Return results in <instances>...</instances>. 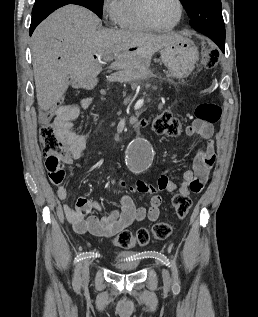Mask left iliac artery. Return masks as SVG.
<instances>
[{
	"label": "left iliac artery",
	"mask_w": 258,
	"mask_h": 317,
	"mask_svg": "<svg viewBox=\"0 0 258 317\" xmlns=\"http://www.w3.org/2000/svg\"><path fill=\"white\" fill-rule=\"evenodd\" d=\"M171 266H172V270H173V275L175 277V279L178 278V268H177V264L176 262L171 259ZM180 292V285L176 283V286L173 288V293L178 294Z\"/></svg>",
	"instance_id": "left-iliac-artery-1"
}]
</instances>
